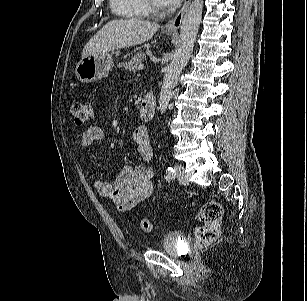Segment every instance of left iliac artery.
Wrapping results in <instances>:
<instances>
[{"mask_svg": "<svg viewBox=\"0 0 307 301\" xmlns=\"http://www.w3.org/2000/svg\"><path fill=\"white\" fill-rule=\"evenodd\" d=\"M166 174H167V177L169 179H174L175 176H176V173H175L174 169L172 167H170V166L167 167Z\"/></svg>", "mask_w": 307, "mask_h": 301, "instance_id": "left-iliac-artery-1", "label": "left iliac artery"}]
</instances>
